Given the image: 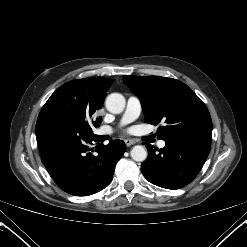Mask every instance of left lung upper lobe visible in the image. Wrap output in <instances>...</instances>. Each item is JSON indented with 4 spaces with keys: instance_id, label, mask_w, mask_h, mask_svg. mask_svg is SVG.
<instances>
[{
    "instance_id": "obj_1",
    "label": "left lung upper lobe",
    "mask_w": 247,
    "mask_h": 247,
    "mask_svg": "<svg viewBox=\"0 0 247 247\" xmlns=\"http://www.w3.org/2000/svg\"><path fill=\"white\" fill-rule=\"evenodd\" d=\"M124 83L140 99L145 120L158 128V138L210 130L212 121L206 105L179 80L160 76H123Z\"/></svg>"
}]
</instances>
